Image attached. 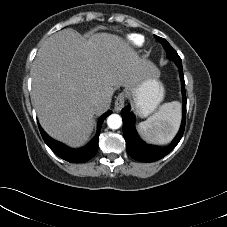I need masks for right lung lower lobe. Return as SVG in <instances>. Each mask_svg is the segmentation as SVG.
Masks as SVG:
<instances>
[{
	"label": "right lung lower lobe",
	"instance_id": "1",
	"mask_svg": "<svg viewBox=\"0 0 227 227\" xmlns=\"http://www.w3.org/2000/svg\"><path fill=\"white\" fill-rule=\"evenodd\" d=\"M111 113L112 111L109 110L107 113H105L99 118L96 136L89 142L88 145L80 149L69 148L68 146L52 139L47 135V133L41 128L39 124L38 126L45 143L56 155H58L59 157H61L62 159L68 162L83 163L90 160L96 155L98 150V140H99L101 125L104 119L107 116H109Z\"/></svg>",
	"mask_w": 227,
	"mask_h": 227
}]
</instances>
